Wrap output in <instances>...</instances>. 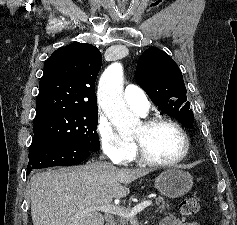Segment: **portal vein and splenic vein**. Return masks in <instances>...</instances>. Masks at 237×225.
<instances>
[{
	"label": "portal vein and splenic vein",
	"instance_id": "portal-vein-and-splenic-vein-1",
	"mask_svg": "<svg viewBox=\"0 0 237 225\" xmlns=\"http://www.w3.org/2000/svg\"><path fill=\"white\" fill-rule=\"evenodd\" d=\"M152 202L150 200L142 201L139 204L135 205L132 209H127L122 206H116L112 204H105L100 207H96L97 210L110 213V214H116L120 217L123 218H132L134 217L137 213H140L143 211L145 208L150 206Z\"/></svg>",
	"mask_w": 237,
	"mask_h": 225
}]
</instances>
